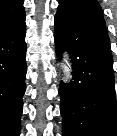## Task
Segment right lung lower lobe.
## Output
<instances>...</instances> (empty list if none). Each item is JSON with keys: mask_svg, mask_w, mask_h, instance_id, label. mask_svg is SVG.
<instances>
[{"mask_svg": "<svg viewBox=\"0 0 117 136\" xmlns=\"http://www.w3.org/2000/svg\"><path fill=\"white\" fill-rule=\"evenodd\" d=\"M26 25L0 36V136H19L26 90Z\"/></svg>", "mask_w": 117, "mask_h": 136, "instance_id": "98d812e1", "label": "right lung lower lobe"}]
</instances>
